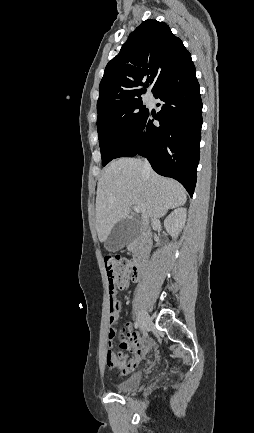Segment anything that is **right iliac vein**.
Returning <instances> with one entry per match:
<instances>
[{"label": "right iliac vein", "instance_id": "obj_1", "mask_svg": "<svg viewBox=\"0 0 254 433\" xmlns=\"http://www.w3.org/2000/svg\"><path fill=\"white\" fill-rule=\"evenodd\" d=\"M149 324H150L149 316L146 314V312H142L140 315V328L143 333L147 331Z\"/></svg>", "mask_w": 254, "mask_h": 433}]
</instances>
